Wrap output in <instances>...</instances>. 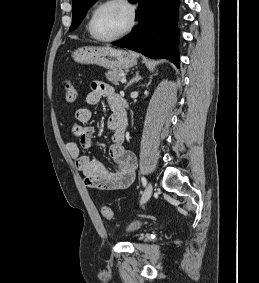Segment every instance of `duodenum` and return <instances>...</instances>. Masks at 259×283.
I'll return each instance as SVG.
<instances>
[{
	"instance_id": "obj_1",
	"label": "duodenum",
	"mask_w": 259,
	"mask_h": 283,
	"mask_svg": "<svg viewBox=\"0 0 259 283\" xmlns=\"http://www.w3.org/2000/svg\"><path fill=\"white\" fill-rule=\"evenodd\" d=\"M116 113L121 120L125 121L126 111H125L124 103H123L122 99H119V103H118V106L116 108Z\"/></svg>"
}]
</instances>
